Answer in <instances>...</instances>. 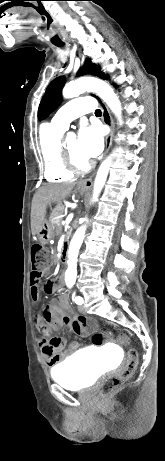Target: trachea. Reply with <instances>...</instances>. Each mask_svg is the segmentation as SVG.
<instances>
[{"label":"trachea","mask_w":165,"mask_h":461,"mask_svg":"<svg viewBox=\"0 0 165 461\" xmlns=\"http://www.w3.org/2000/svg\"><path fill=\"white\" fill-rule=\"evenodd\" d=\"M58 46H62V44H58ZM95 114H96V115H101V110H100V109H97V110L95 111Z\"/></svg>","instance_id":"obj_1"}]
</instances>
